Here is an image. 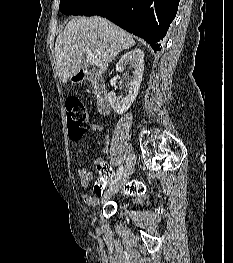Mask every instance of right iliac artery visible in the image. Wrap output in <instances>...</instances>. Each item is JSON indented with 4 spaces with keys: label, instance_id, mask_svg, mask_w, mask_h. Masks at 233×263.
Listing matches in <instances>:
<instances>
[{
    "label": "right iliac artery",
    "instance_id": "right-iliac-artery-1",
    "mask_svg": "<svg viewBox=\"0 0 233 263\" xmlns=\"http://www.w3.org/2000/svg\"><path fill=\"white\" fill-rule=\"evenodd\" d=\"M122 173H123V166L121 165L117 171L115 178L111 181L110 185L115 184L120 179Z\"/></svg>",
    "mask_w": 233,
    "mask_h": 263
}]
</instances>
